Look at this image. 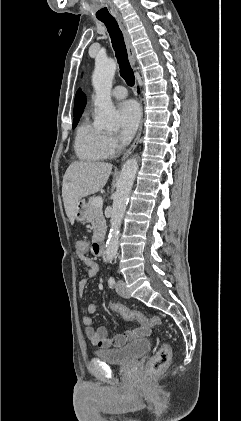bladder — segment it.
Wrapping results in <instances>:
<instances>
[{
    "instance_id": "bladder-1",
    "label": "bladder",
    "mask_w": 241,
    "mask_h": 421,
    "mask_svg": "<svg viewBox=\"0 0 241 421\" xmlns=\"http://www.w3.org/2000/svg\"><path fill=\"white\" fill-rule=\"evenodd\" d=\"M150 346L148 339H138L118 349L98 350L95 356L108 364L123 366L147 353Z\"/></svg>"
}]
</instances>
